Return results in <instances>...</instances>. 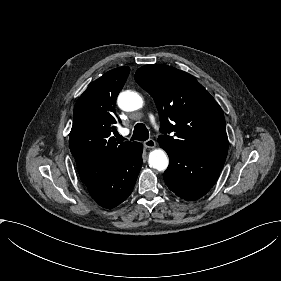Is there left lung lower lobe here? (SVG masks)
<instances>
[{"instance_id": "0a47b994", "label": "left lung lower lobe", "mask_w": 281, "mask_h": 281, "mask_svg": "<svg viewBox=\"0 0 281 281\" xmlns=\"http://www.w3.org/2000/svg\"><path fill=\"white\" fill-rule=\"evenodd\" d=\"M169 155L170 164L164 173L168 188L185 200H196L214 185L226 158L197 157L182 154L160 145Z\"/></svg>"}]
</instances>
